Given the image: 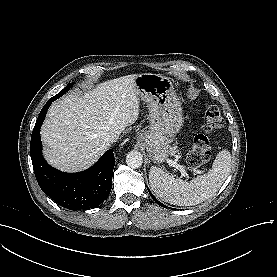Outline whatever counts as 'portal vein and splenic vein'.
Segmentation results:
<instances>
[{
    "label": "portal vein and splenic vein",
    "mask_w": 277,
    "mask_h": 277,
    "mask_svg": "<svg viewBox=\"0 0 277 277\" xmlns=\"http://www.w3.org/2000/svg\"><path fill=\"white\" fill-rule=\"evenodd\" d=\"M168 163L170 166L175 167L177 170H179L183 177H187V174L185 171V166L180 165L176 161H173V160H169Z\"/></svg>",
    "instance_id": "18ae733b"
}]
</instances>
